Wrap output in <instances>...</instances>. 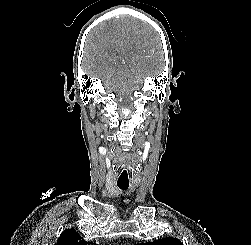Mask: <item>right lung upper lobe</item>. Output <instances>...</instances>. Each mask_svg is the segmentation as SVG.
<instances>
[{
  "mask_svg": "<svg viewBox=\"0 0 251 245\" xmlns=\"http://www.w3.org/2000/svg\"><path fill=\"white\" fill-rule=\"evenodd\" d=\"M55 245H96V243L86 242L75 229H66Z\"/></svg>",
  "mask_w": 251,
  "mask_h": 245,
  "instance_id": "1",
  "label": "right lung upper lobe"
}]
</instances>
